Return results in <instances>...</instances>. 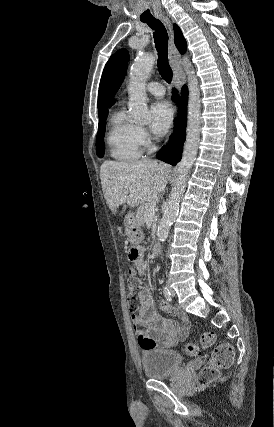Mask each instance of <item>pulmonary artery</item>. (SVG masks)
<instances>
[{
    "label": "pulmonary artery",
    "instance_id": "pulmonary-artery-1",
    "mask_svg": "<svg viewBox=\"0 0 274 427\" xmlns=\"http://www.w3.org/2000/svg\"><path fill=\"white\" fill-rule=\"evenodd\" d=\"M146 90L154 96L162 97L165 95V88L162 84L158 82L148 83Z\"/></svg>",
    "mask_w": 274,
    "mask_h": 427
}]
</instances>
